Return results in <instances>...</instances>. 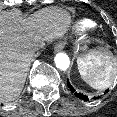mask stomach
<instances>
[{"label": "stomach", "instance_id": "obj_1", "mask_svg": "<svg viewBox=\"0 0 117 117\" xmlns=\"http://www.w3.org/2000/svg\"><path fill=\"white\" fill-rule=\"evenodd\" d=\"M86 48H87L86 45H83V46H79V45H78V50H79V49H80V50H86Z\"/></svg>", "mask_w": 117, "mask_h": 117}]
</instances>
